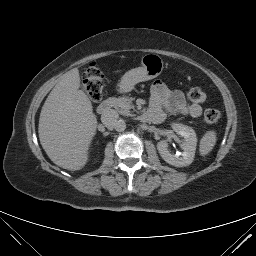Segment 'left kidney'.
<instances>
[{"mask_svg":"<svg viewBox=\"0 0 256 256\" xmlns=\"http://www.w3.org/2000/svg\"><path fill=\"white\" fill-rule=\"evenodd\" d=\"M172 128L174 132L183 138L181 144L183 149L182 156L171 154L166 140L157 143L158 152L164 161L175 167L188 166L193 162L195 155L197 145L196 133L191 127L182 124L175 123L172 125Z\"/></svg>","mask_w":256,"mask_h":256,"instance_id":"1","label":"left kidney"}]
</instances>
